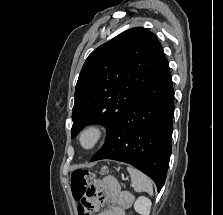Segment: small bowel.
<instances>
[{
  "mask_svg": "<svg viewBox=\"0 0 223 215\" xmlns=\"http://www.w3.org/2000/svg\"><path fill=\"white\" fill-rule=\"evenodd\" d=\"M82 203L89 205L91 210H97L101 205L105 206L97 215H126V210L133 203V196L127 191H122L115 179L105 177L87 188ZM78 209L79 214L83 215L79 206Z\"/></svg>",
  "mask_w": 223,
  "mask_h": 215,
  "instance_id": "small-bowel-1",
  "label": "small bowel"
}]
</instances>
